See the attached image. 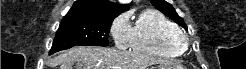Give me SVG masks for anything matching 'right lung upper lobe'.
<instances>
[{"mask_svg":"<svg viewBox=\"0 0 246 69\" xmlns=\"http://www.w3.org/2000/svg\"><path fill=\"white\" fill-rule=\"evenodd\" d=\"M128 5L109 0H77L62 20H112L128 10Z\"/></svg>","mask_w":246,"mask_h":69,"instance_id":"cb5924a9","label":"right lung upper lobe"}]
</instances>
